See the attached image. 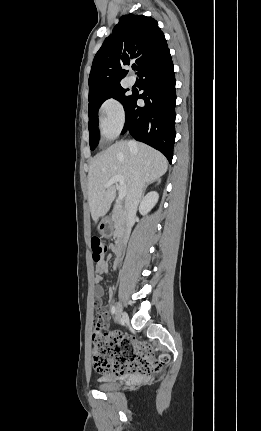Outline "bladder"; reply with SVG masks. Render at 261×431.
Returning a JSON list of instances; mask_svg holds the SVG:
<instances>
[{
	"label": "bladder",
	"mask_w": 261,
	"mask_h": 431,
	"mask_svg": "<svg viewBox=\"0 0 261 431\" xmlns=\"http://www.w3.org/2000/svg\"><path fill=\"white\" fill-rule=\"evenodd\" d=\"M98 388L103 391H112L120 387V378L113 375H103L97 380Z\"/></svg>",
	"instance_id": "obj_1"
}]
</instances>
